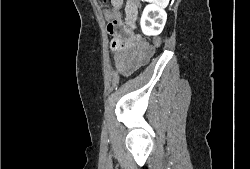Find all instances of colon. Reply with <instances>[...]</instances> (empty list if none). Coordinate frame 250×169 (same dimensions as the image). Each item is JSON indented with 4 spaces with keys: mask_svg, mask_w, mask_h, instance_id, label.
Instances as JSON below:
<instances>
[{
    "mask_svg": "<svg viewBox=\"0 0 250 169\" xmlns=\"http://www.w3.org/2000/svg\"><path fill=\"white\" fill-rule=\"evenodd\" d=\"M142 1L141 0H129V4H132V8H141V3ZM116 6L118 8L121 7L122 3L120 0H114L112 2V6ZM108 30L110 32H112L113 30L115 31V33L117 34H123L125 32V27L123 26V24L119 21V20H114L112 23H109V26H108ZM153 49L156 50L160 47L161 45V39L159 36L155 35L153 37ZM149 55V54H147Z\"/></svg>",
    "mask_w": 250,
    "mask_h": 169,
    "instance_id": "obj_1",
    "label": "colon"
}]
</instances>
